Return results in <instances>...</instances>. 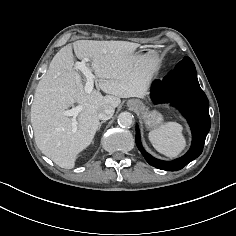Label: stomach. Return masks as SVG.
Listing matches in <instances>:
<instances>
[{
  "mask_svg": "<svg viewBox=\"0 0 236 236\" xmlns=\"http://www.w3.org/2000/svg\"><path fill=\"white\" fill-rule=\"evenodd\" d=\"M150 50H139L136 52V54L138 55H142V54H146L148 53ZM155 55L157 56V53L155 52ZM142 114V118L144 120V123L148 126V127H157L163 120V116L162 114L157 111V110H149L148 108H144L141 112Z\"/></svg>",
  "mask_w": 236,
  "mask_h": 236,
  "instance_id": "obj_1",
  "label": "stomach"
}]
</instances>
